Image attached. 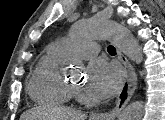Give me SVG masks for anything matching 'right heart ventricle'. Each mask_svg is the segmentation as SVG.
I'll list each match as a JSON object with an SVG mask.
<instances>
[{
	"label": "right heart ventricle",
	"mask_w": 165,
	"mask_h": 120,
	"mask_svg": "<svg viewBox=\"0 0 165 120\" xmlns=\"http://www.w3.org/2000/svg\"><path fill=\"white\" fill-rule=\"evenodd\" d=\"M66 55L50 46L39 59L28 83V92L38 103L65 104L74 96L70 84L61 75Z\"/></svg>",
	"instance_id": "e07e8e85"
}]
</instances>
